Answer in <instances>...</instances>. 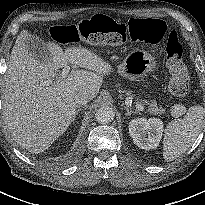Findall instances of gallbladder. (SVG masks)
Wrapping results in <instances>:
<instances>
[{"mask_svg": "<svg viewBox=\"0 0 205 205\" xmlns=\"http://www.w3.org/2000/svg\"><path fill=\"white\" fill-rule=\"evenodd\" d=\"M27 49L37 59L44 60L49 56L47 44L38 36L32 35L26 40Z\"/></svg>", "mask_w": 205, "mask_h": 205, "instance_id": "gallbladder-1", "label": "gallbladder"}]
</instances>
